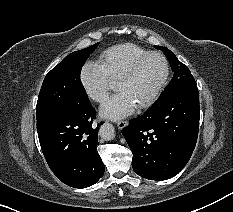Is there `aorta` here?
I'll use <instances>...</instances> for the list:
<instances>
[{"instance_id":"aorta-1","label":"aorta","mask_w":233,"mask_h":212,"mask_svg":"<svg viewBox=\"0 0 233 212\" xmlns=\"http://www.w3.org/2000/svg\"><path fill=\"white\" fill-rule=\"evenodd\" d=\"M100 137L106 141L112 140L115 137V128L110 123H105L100 127Z\"/></svg>"}]
</instances>
